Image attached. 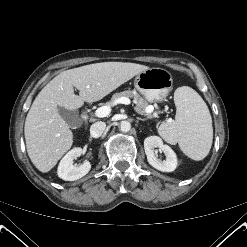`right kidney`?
Instances as JSON below:
<instances>
[{"instance_id":"ca27d5eb","label":"right kidney","mask_w":247,"mask_h":247,"mask_svg":"<svg viewBox=\"0 0 247 247\" xmlns=\"http://www.w3.org/2000/svg\"><path fill=\"white\" fill-rule=\"evenodd\" d=\"M82 149L79 147L70 150L60 161L57 174L65 181H74L85 176L91 169L89 161H85L82 165H74L73 160L81 156Z\"/></svg>"}]
</instances>
